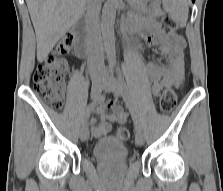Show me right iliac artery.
<instances>
[{"mask_svg":"<svg viewBox=\"0 0 223 191\" xmlns=\"http://www.w3.org/2000/svg\"><path fill=\"white\" fill-rule=\"evenodd\" d=\"M104 98H105V96H104V95H101L100 97L98 96L97 98L93 99V101L90 102V103L88 104V106L86 107V110H85V114H84V115H86V114H90V112L93 111L94 108H95V107H96L102 100H104ZM84 124H85V123H84V117H83V119H82V125H84Z\"/></svg>","mask_w":223,"mask_h":191,"instance_id":"82829eb1","label":"right iliac artery"}]
</instances>
